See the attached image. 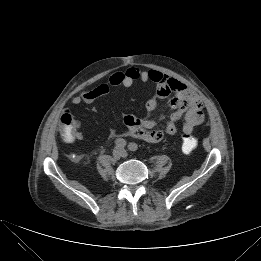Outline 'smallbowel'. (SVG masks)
<instances>
[{
	"label": "small bowel",
	"mask_w": 261,
	"mask_h": 261,
	"mask_svg": "<svg viewBox=\"0 0 261 261\" xmlns=\"http://www.w3.org/2000/svg\"><path fill=\"white\" fill-rule=\"evenodd\" d=\"M136 81L153 82L156 85L154 95L146 102L148 112H154L161 99H168V106L173 109L167 118L165 129L156 130L158 122L164 115L158 118H139L135 115L124 117V130H114V136H129L146 142L156 143L163 140L165 135H175L178 132V123L182 121V131L191 133L194 128L204 121L203 104L199 96L189 89L184 83L170 78L157 70L142 71L136 67H129L123 71L112 73L107 82L94 88L83 91L72 99L75 106L83 103L89 104L107 95L112 87H130ZM82 135L76 132L75 139H81Z\"/></svg>",
	"instance_id": "1"
}]
</instances>
